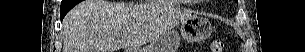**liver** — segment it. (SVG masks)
<instances>
[{"mask_svg":"<svg viewBox=\"0 0 305 52\" xmlns=\"http://www.w3.org/2000/svg\"><path fill=\"white\" fill-rule=\"evenodd\" d=\"M169 16L177 22L191 14L174 11ZM162 29L153 18V8L146 5L84 0L63 21V52L132 50L157 39Z\"/></svg>","mask_w":305,"mask_h":52,"instance_id":"liver-1","label":"liver"}]
</instances>
